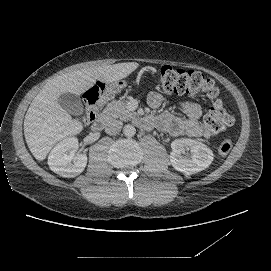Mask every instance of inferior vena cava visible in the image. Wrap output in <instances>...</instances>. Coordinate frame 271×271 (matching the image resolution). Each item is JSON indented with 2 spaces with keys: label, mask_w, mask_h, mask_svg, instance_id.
Here are the masks:
<instances>
[{
  "label": "inferior vena cava",
  "mask_w": 271,
  "mask_h": 271,
  "mask_svg": "<svg viewBox=\"0 0 271 271\" xmlns=\"http://www.w3.org/2000/svg\"><path fill=\"white\" fill-rule=\"evenodd\" d=\"M122 122L117 119H110L105 127V132L108 135H115L120 132Z\"/></svg>",
  "instance_id": "602c4592"
}]
</instances>
